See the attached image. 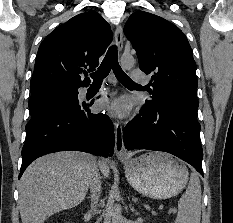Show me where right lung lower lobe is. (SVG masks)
I'll return each mask as SVG.
<instances>
[{
	"label": "right lung lower lobe",
	"mask_w": 233,
	"mask_h": 223,
	"mask_svg": "<svg viewBox=\"0 0 233 223\" xmlns=\"http://www.w3.org/2000/svg\"><path fill=\"white\" fill-rule=\"evenodd\" d=\"M57 101L63 109L31 117L26 125L19 178L30 163L48 153L77 150L104 157L113 154V124L106 115L90 112L93 101L79 102L78 91L62 95Z\"/></svg>",
	"instance_id": "1"
}]
</instances>
